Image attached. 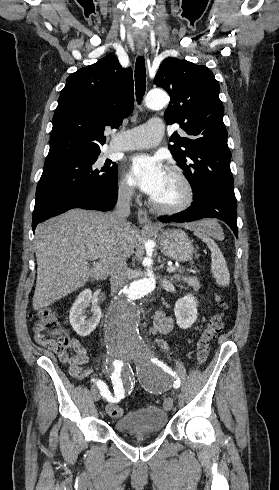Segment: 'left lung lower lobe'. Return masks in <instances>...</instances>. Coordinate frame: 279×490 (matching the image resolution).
<instances>
[{
  "label": "left lung lower lobe",
  "mask_w": 279,
  "mask_h": 490,
  "mask_svg": "<svg viewBox=\"0 0 279 490\" xmlns=\"http://www.w3.org/2000/svg\"><path fill=\"white\" fill-rule=\"evenodd\" d=\"M237 202L234 190L205 186L193 196L192 206L172 216L160 217L161 222H190L202 218H217L227 223L238 238Z\"/></svg>",
  "instance_id": "obj_1"
}]
</instances>
